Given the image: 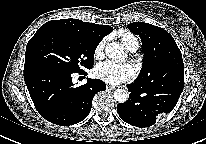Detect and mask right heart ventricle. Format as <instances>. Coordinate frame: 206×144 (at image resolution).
I'll return each mask as SVG.
<instances>
[{"label":"right heart ventricle","instance_id":"right-heart-ventricle-1","mask_svg":"<svg viewBox=\"0 0 206 144\" xmlns=\"http://www.w3.org/2000/svg\"><path fill=\"white\" fill-rule=\"evenodd\" d=\"M115 36L121 40L125 47L130 51H136L139 47L137 37L128 30H119Z\"/></svg>","mask_w":206,"mask_h":144}]
</instances>
